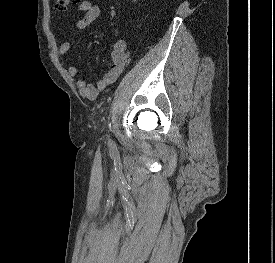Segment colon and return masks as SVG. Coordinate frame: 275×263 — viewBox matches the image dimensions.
<instances>
[{"label": "colon", "instance_id": "5ec220e1", "mask_svg": "<svg viewBox=\"0 0 275 263\" xmlns=\"http://www.w3.org/2000/svg\"><path fill=\"white\" fill-rule=\"evenodd\" d=\"M76 0H55V7L58 11H64L66 7Z\"/></svg>", "mask_w": 275, "mask_h": 263}]
</instances>
